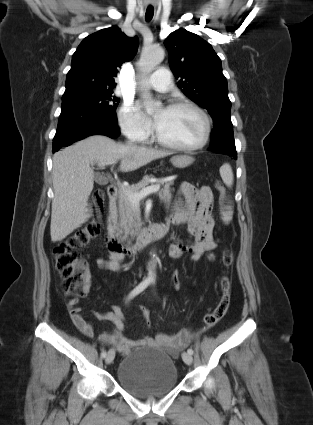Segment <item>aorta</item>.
I'll return each instance as SVG.
<instances>
[{
    "instance_id": "obj_1",
    "label": "aorta",
    "mask_w": 313,
    "mask_h": 425,
    "mask_svg": "<svg viewBox=\"0 0 313 425\" xmlns=\"http://www.w3.org/2000/svg\"><path fill=\"white\" fill-rule=\"evenodd\" d=\"M164 59V50L160 47H152L144 50L141 54L140 60L138 62V67L143 77L149 75L155 67L161 63ZM143 98L152 102L150 92L147 89H143L142 92ZM149 278H155V264H152V267L149 270Z\"/></svg>"
}]
</instances>
